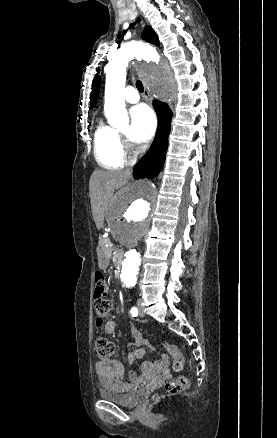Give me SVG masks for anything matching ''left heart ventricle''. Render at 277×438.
Returning a JSON list of instances; mask_svg holds the SVG:
<instances>
[{
  "label": "left heart ventricle",
  "instance_id": "left-heart-ventricle-1",
  "mask_svg": "<svg viewBox=\"0 0 277 438\" xmlns=\"http://www.w3.org/2000/svg\"><path fill=\"white\" fill-rule=\"evenodd\" d=\"M129 132H130L129 130H126L123 133L127 135V134H129Z\"/></svg>",
  "mask_w": 277,
  "mask_h": 438
}]
</instances>
